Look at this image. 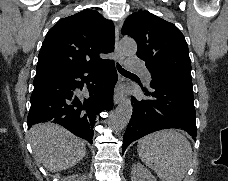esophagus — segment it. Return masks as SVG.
Returning <instances> with one entry per match:
<instances>
[{
    "label": "esophagus",
    "instance_id": "obj_1",
    "mask_svg": "<svg viewBox=\"0 0 228 181\" xmlns=\"http://www.w3.org/2000/svg\"><path fill=\"white\" fill-rule=\"evenodd\" d=\"M120 28H121L120 25H116V27H115V52L118 54V61L123 62L124 56L120 53L119 47H118ZM123 81H124V77L119 74L117 87H116L115 93H114V104L115 105H117L124 97L123 93L119 89L120 85L123 83Z\"/></svg>",
    "mask_w": 228,
    "mask_h": 181
}]
</instances>
